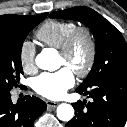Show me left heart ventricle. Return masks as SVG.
Here are the masks:
<instances>
[{
	"mask_svg": "<svg viewBox=\"0 0 127 127\" xmlns=\"http://www.w3.org/2000/svg\"><path fill=\"white\" fill-rule=\"evenodd\" d=\"M88 57V45L85 39H80L73 49V52L68 60L61 55L58 57L59 66H64L74 71L84 67Z\"/></svg>",
	"mask_w": 127,
	"mask_h": 127,
	"instance_id": "obj_1",
	"label": "left heart ventricle"
}]
</instances>
